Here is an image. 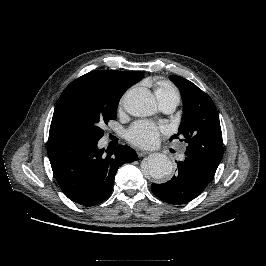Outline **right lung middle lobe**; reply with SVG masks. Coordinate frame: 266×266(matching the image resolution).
<instances>
[{"label": "right lung middle lobe", "mask_w": 266, "mask_h": 266, "mask_svg": "<svg viewBox=\"0 0 266 266\" xmlns=\"http://www.w3.org/2000/svg\"><path fill=\"white\" fill-rule=\"evenodd\" d=\"M121 96L92 89L62 93L54 110L49 136L98 141L104 134L101 127L116 118Z\"/></svg>", "instance_id": "right-lung-middle-lobe-1"}]
</instances>
